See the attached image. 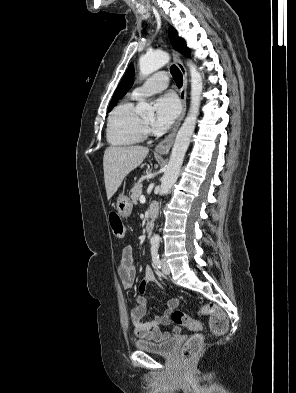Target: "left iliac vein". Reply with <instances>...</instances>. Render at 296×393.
Listing matches in <instances>:
<instances>
[{"label": "left iliac vein", "mask_w": 296, "mask_h": 393, "mask_svg": "<svg viewBox=\"0 0 296 393\" xmlns=\"http://www.w3.org/2000/svg\"><path fill=\"white\" fill-rule=\"evenodd\" d=\"M161 265H162V272L164 274L168 275L170 273V268H169V265L165 259L161 260Z\"/></svg>", "instance_id": "obj_1"}]
</instances>
